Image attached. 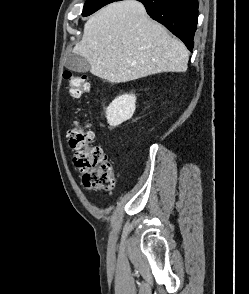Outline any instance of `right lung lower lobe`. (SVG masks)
Masks as SVG:
<instances>
[{
  "label": "right lung lower lobe",
  "instance_id": "98d812e1",
  "mask_svg": "<svg viewBox=\"0 0 249 294\" xmlns=\"http://www.w3.org/2000/svg\"><path fill=\"white\" fill-rule=\"evenodd\" d=\"M120 1V0H117ZM150 17L180 38L191 51L197 27L198 0H138Z\"/></svg>",
  "mask_w": 249,
  "mask_h": 294
}]
</instances>
